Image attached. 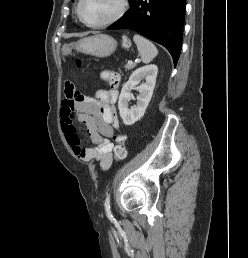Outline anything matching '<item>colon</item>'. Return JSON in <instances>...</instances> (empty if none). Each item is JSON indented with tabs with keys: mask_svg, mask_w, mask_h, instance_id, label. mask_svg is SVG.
Instances as JSON below:
<instances>
[{
	"mask_svg": "<svg viewBox=\"0 0 248 258\" xmlns=\"http://www.w3.org/2000/svg\"><path fill=\"white\" fill-rule=\"evenodd\" d=\"M124 45L127 46L128 42L124 41ZM101 79L110 86H115L118 83V74L114 71H104L101 73ZM117 145L114 149L115 160H123L126 157V147H125V136H116Z\"/></svg>",
	"mask_w": 248,
	"mask_h": 258,
	"instance_id": "1",
	"label": "colon"
}]
</instances>
